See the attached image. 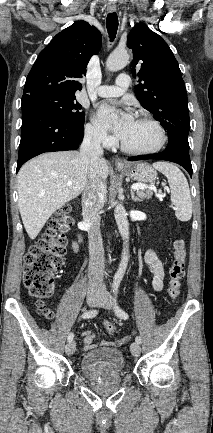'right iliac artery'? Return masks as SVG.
Instances as JSON below:
<instances>
[{
    "mask_svg": "<svg viewBox=\"0 0 213 433\" xmlns=\"http://www.w3.org/2000/svg\"><path fill=\"white\" fill-rule=\"evenodd\" d=\"M97 314H98V310H97V309L88 310V311H86V312H84V313L82 314V318H83V319L93 318V317H95ZM73 338H74V334H73V333H70V334L68 335V338H67V339H68V341L70 342V341L73 340Z\"/></svg>",
    "mask_w": 213,
    "mask_h": 433,
    "instance_id": "obj_1",
    "label": "right iliac artery"
}]
</instances>
